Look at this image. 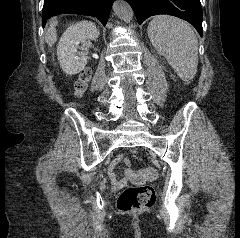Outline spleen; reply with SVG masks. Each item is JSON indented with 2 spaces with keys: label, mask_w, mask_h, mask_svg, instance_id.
Wrapping results in <instances>:
<instances>
[{
  "label": "spleen",
  "mask_w": 240,
  "mask_h": 238,
  "mask_svg": "<svg viewBox=\"0 0 240 238\" xmlns=\"http://www.w3.org/2000/svg\"><path fill=\"white\" fill-rule=\"evenodd\" d=\"M148 37L183 81L197 72L198 40L188 23L167 15L155 16L148 25Z\"/></svg>",
  "instance_id": "obj_1"
}]
</instances>
